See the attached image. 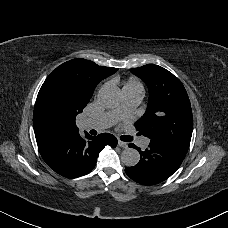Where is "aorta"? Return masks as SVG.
Masks as SVG:
<instances>
[{"label": "aorta", "mask_w": 228, "mask_h": 228, "mask_svg": "<svg viewBox=\"0 0 228 228\" xmlns=\"http://www.w3.org/2000/svg\"><path fill=\"white\" fill-rule=\"evenodd\" d=\"M97 98L103 107L113 109L119 105L121 94L117 87L105 86L100 89ZM121 160L128 167L135 166L140 160V154L136 149L126 148L121 153Z\"/></svg>", "instance_id": "obj_1"}]
</instances>
